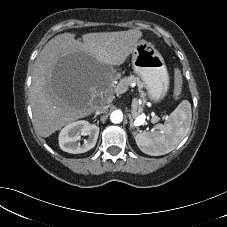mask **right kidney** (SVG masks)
I'll return each mask as SVG.
<instances>
[{"mask_svg": "<svg viewBox=\"0 0 227 227\" xmlns=\"http://www.w3.org/2000/svg\"><path fill=\"white\" fill-rule=\"evenodd\" d=\"M81 135H88L87 140L80 144L78 140ZM99 127L88 121L80 120L65 126L59 134V146L68 153H84L92 149L98 139Z\"/></svg>", "mask_w": 227, "mask_h": 227, "instance_id": "obj_1", "label": "right kidney"}]
</instances>
